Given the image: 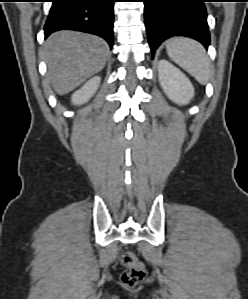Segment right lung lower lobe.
<instances>
[{"mask_svg":"<svg viewBox=\"0 0 248 299\" xmlns=\"http://www.w3.org/2000/svg\"><path fill=\"white\" fill-rule=\"evenodd\" d=\"M45 36L58 30L98 35L113 46L114 0H53Z\"/></svg>","mask_w":248,"mask_h":299,"instance_id":"obj_1","label":"right lung lower lobe"}]
</instances>
